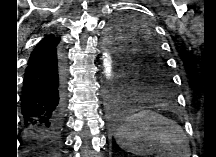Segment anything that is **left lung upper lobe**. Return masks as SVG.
I'll return each instance as SVG.
<instances>
[{
    "mask_svg": "<svg viewBox=\"0 0 216 157\" xmlns=\"http://www.w3.org/2000/svg\"><path fill=\"white\" fill-rule=\"evenodd\" d=\"M104 43L116 61V88L123 77L133 95L172 97L174 82L150 23L135 14L120 15L107 27Z\"/></svg>",
    "mask_w": 216,
    "mask_h": 157,
    "instance_id": "left-lung-upper-lobe-1",
    "label": "left lung upper lobe"
}]
</instances>
